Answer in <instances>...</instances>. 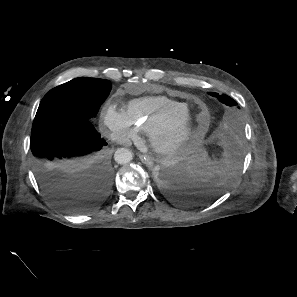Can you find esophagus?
<instances>
[{"label": "esophagus", "mask_w": 297, "mask_h": 297, "mask_svg": "<svg viewBox=\"0 0 297 297\" xmlns=\"http://www.w3.org/2000/svg\"><path fill=\"white\" fill-rule=\"evenodd\" d=\"M141 161L147 166V167H152L154 165V162L152 160V158H150L147 155H141L140 156Z\"/></svg>", "instance_id": "1"}]
</instances>
